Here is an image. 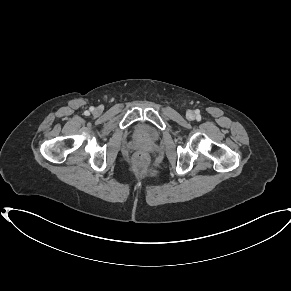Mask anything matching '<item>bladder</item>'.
I'll use <instances>...</instances> for the list:
<instances>
[{"instance_id": "31cf9c89", "label": "bladder", "mask_w": 291, "mask_h": 291, "mask_svg": "<svg viewBox=\"0 0 291 291\" xmlns=\"http://www.w3.org/2000/svg\"><path fill=\"white\" fill-rule=\"evenodd\" d=\"M135 136L146 141H155L159 137V132L152 126L142 123L135 128Z\"/></svg>"}]
</instances>
